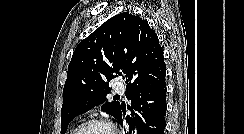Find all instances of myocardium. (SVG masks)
<instances>
[{
	"mask_svg": "<svg viewBox=\"0 0 244 134\" xmlns=\"http://www.w3.org/2000/svg\"><path fill=\"white\" fill-rule=\"evenodd\" d=\"M100 125L109 129L112 134H118L117 129L107 120L104 119H90L81 123L72 134H80L84 129L89 126Z\"/></svg>",
	"mask_w": 244,
	"mask_h": 134,
	"instance_id": "1",
	"label": "myocardium"
}]
</instances>
